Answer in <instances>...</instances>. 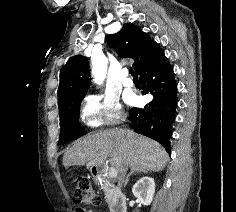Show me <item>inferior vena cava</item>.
Segmentation results:
<instances>
[{
	"label": "inferior vena cava",
	"instance_id": "602c4592",
	"mask_svg": "<svg viewBox=\"0 0 236 212\" xmlns=\"http://www.w3.org/2000/svg\"><path fill=\"white\" fill-rule=\"evenodd\" d=\"M127 170H128V163L126 161H124L119 169L118 183L120 186L125 183V177H126Z\"/></svg>",
	"mask_w": 236,
	"mask_h": 212
}]
</instances>
